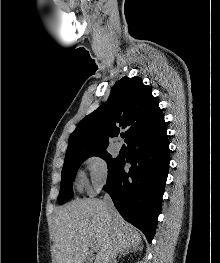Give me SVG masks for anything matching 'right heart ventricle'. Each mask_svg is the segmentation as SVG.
<instances>
[{
    "label": "right heart ventricle",
    "instance_id": "e07e8e85",
    "mask_svg": "<svg viewBox=\"0 0 220 263\" xmlns=\"http://www.w3.org/2000/svg\"><path fill=\"white\" fill-rule=\"evenodd\" d=\"M82 185H83V181L80 179V180L78 181V187L81 188Z\"/></svg>",
    "mask_w": 220,
    "mask_h": 263
}]
</instances>
